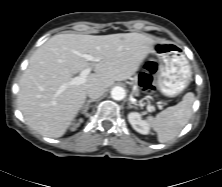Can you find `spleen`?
<instances>
[{"instance_id":"1","label":"spleen","mask_w":222,"mask_h":187,"mask_svg":"<svg viewBox=\"0 0 222 187\" xmlns=\"http://www.w3.org/2000/svg\"><path fill=\"white\" fill-rule=\"evenodd\" d=\"M194 100L192 92L186 93L177 105L166 108L156 117L147 118L160 143L174 139L181 132L191 117Z\"/></svg>"}]
</instances>
